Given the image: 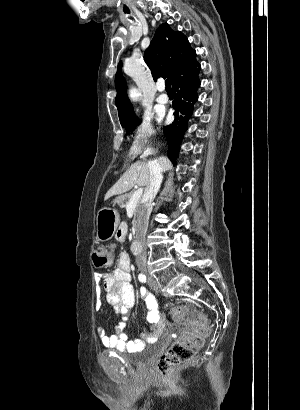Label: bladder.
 I'll return each mask as SVG.
<instances>
[{
    "label": "bladder",
    "instance_id": "1",
    "mask_svg": "<svg viewBox=\"0 0 300 410\" xmlns=\"http://www.w3.org/2000/svg\"><path fill=\"white\" fill-rule=\"evenodd\" d=\"M156 351L154 347H146L136 355L124 356L123 360L134 367H144L151 361Z\"/></svg>",
    "mask_w": 300,
    "mask_h": 410
}]
</instances>
